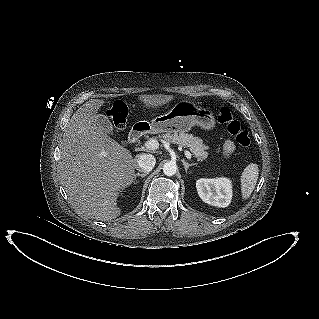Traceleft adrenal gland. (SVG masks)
<instances>
[{"instance_id": "1", "label": "left adrenal gland", "mask_w": 319, "mask_h": 319, "mask_svg": "<svg viewBox=\"0 0 319 319\" xmlns=\"http://www.w3.org/2000/svg\"><path fill=\"white\" fill-rule=\"evenodd\" d=\"M182 163H183V165H184V169H185V171L187 172L188 171V169H189V167L190 166H195V165H197V163H188V162H186L185 160H182Z\"/></svg>"}]
</instances>
